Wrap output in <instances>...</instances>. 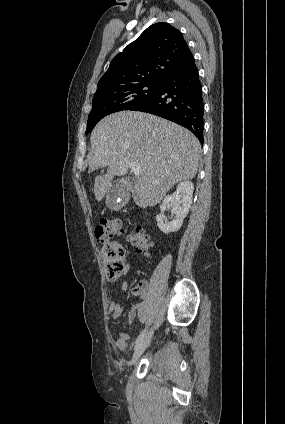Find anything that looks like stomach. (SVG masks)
Segmentation results:
<instances>
[{"instance_id": "stomach-1", "label": "stomach", "mask_w": 285, "mask_h": 424, "mask_svg": "<svg viewBox=\"0 0 285 424\" xmlns=\"http://www.w3.org/2000/svg\"><path fill=\"white\" fill-rule=\"evenodd\" d=\"M106 204L110 208H116L118 206V202L115 199H112L109 195L107 197Z\"/></svg>"}]
</instances>
